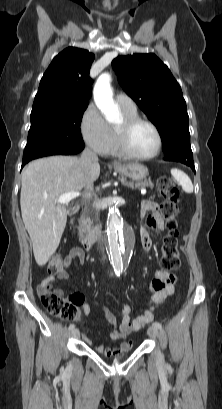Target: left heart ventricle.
<instances>
[{
  "mask_svg": "<svg viewBox=\"0 0 222 409\" xmlns=\"http://www.w3.org/2000/svg\"><path fill=\"white\" fill-rule=\"evenodd\" d=\"M124 121L118 126L121 127ZM128 144L132 152L138 155L152 153L157 145L154 130L146 124H138L128 134Z\"/></svg>",
  "mask_w": 222,
  "mask_h": 409,
  "instance_id": "1",
  "label": "left heart ventricle"
}]
</instances>
